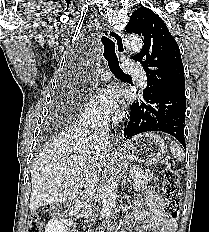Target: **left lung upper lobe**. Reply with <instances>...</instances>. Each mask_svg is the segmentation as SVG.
Listing matches in <instances>:
<instances>
[{"instance_id":"1","label":"left lung upper lobe","mask_w":209,"mask_h":232,"mask_svg":"<svg viewBox=\"0 0 209 232\" xmlns=\"http://www.w3.org/2000/svg\"><path fill=\"white\" fill-rule=\"evenodd\" d=\"M128 33L144 39L141 51L133 56L147 74L143 95L172 93L185 97L184 67L177 42L163 20L152 10H135L126 25Z\"/></svg>"}]
</instances>
